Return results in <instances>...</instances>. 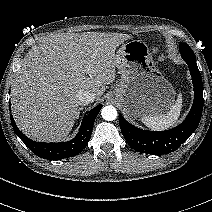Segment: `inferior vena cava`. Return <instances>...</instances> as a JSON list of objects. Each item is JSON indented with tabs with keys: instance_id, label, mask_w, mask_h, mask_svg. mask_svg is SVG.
Returning <instances> with one entry per match:
<instances>
[{
	"instance_id": "obj_1",
	"label": "inferior vena cava",
	"mask_w": 212,
	"mask_h": 212,
	"mask_svg": "<svg viewBox=\"0 0 212 212\" xmlns=\"http://www.w3.org/2000/svg\"><path fill=\"white\" fill-rule=\"evenodd\" d=\"M76 98H77V103L79 105H87L89 103H92L96 97L94 93H91L86 90H80L77 93Z\"/></svg>"
}]
</instances>
